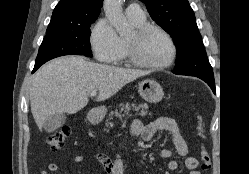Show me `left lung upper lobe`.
Returning <instances> with one entry per match:
<instances>
[{
    "instance_id": "obj_1",
    "label": "left lung upper lobe",
    "mask_w": 249,
    "mask_h": 174,
    "mask_svg": "<svg viewBox=\"0 0 249 174\" xmlns=\"http://www.w3.org/2000/svg\"><path fill=\"white\" fill-rule=\"evenodd\" d=\"M140 1L145 3L152 19L173 38L177 50L173 73L214 77L188 0Z\"/></svg>"
}]
</instances>
